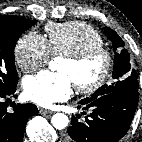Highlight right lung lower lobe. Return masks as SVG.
<instances>
[{"instance_id":"right-lung-lower-lobe-1","label":"right lung lower lobe","mask_w":142,"mask_h":142,"mask_svg":"<svg viewBox=\"0 0 142 142\" xmlns=\"http://www.w3.org/2000/svg\"><path fill=\"white\" fill-rule=\"evenodd\" d=\"M17 84L5 91H0V142H22L28 119L38 113V108L31 104H18L13 112L7 110L8 99L14 96Z\"/></svg>"}]
</instances>
